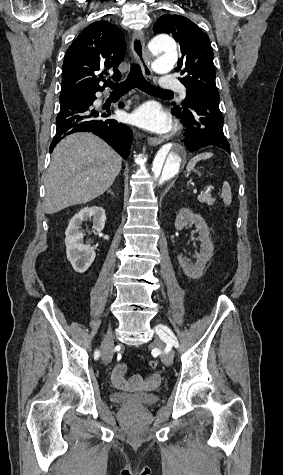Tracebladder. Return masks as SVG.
<instances>
[{"label":"bladder","mask_w":283,"mask_h":475,"mask_svg":"<svg viewBox=\"0 0 283 475\" xmlns=\"http://www.w3.org/2000/svg\"><path fill=\"white\" fill-rule=\"evenodd\" d=\"M109 396L123 404L134 405L138 407H147L151 404H155L157 403L159 399L158 394H135V393L111 392Z\"/></svg>","instance_id":"31cf9c89"}]
</instances>
